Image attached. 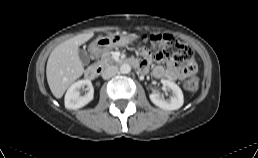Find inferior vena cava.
I'll use <instances>...</instances> for the list:
<instances>
[{
	"instance_id": "obj_1",
	"label": "inferior vena cava",
	"mask_w": 258,
	"mask_h": 158,
	"mask_svg": "<svg viewBox=\"0 0 258 158\" xmlns=\"http://www.w3.org/2000/svg\"><path fill=\"white\" fill-rule=\"evenodd\" d=\"M118 73V67L117 66H108L106 67L102 72L103 79H109L113 76H115Z\"/></svg>"
}]
</instances>
